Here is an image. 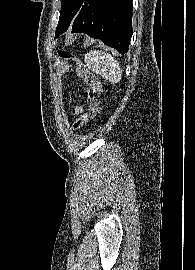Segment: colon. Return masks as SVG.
<instances>
[{
	"instance_id": "obj_1",
	"label": "colon",
	"mask_w": 195,
	"mask_h": 270,
	"mask_svg": "<svg viewBox=\"0 0 195 270\" xmlns=\"http://www.w3.org/2000/svg\"><path fill=\"white\" fill-rule=\"evenodd\" d=\"M58 55L61 59L65 61H75L77 64V73L82 78V80L88 85L91 93L92 99L89 103L87 110L74 121L73 128L79 130L84 127L86 124L91 122L99 112V101L98 96L101 93L102 85L99 78L90 71L83 63L76 60L72 54L65 50L59 49Z\"/></svg>"
}]
</instances>
